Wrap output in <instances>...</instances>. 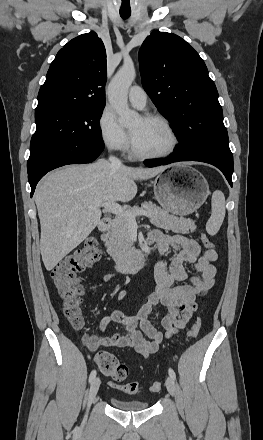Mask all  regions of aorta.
Here are the masks:
<instances>
[{
	"label": "aorta",
	"instance_id": "762f6f07",
	"mask_svg": "<svg viewBox=\"0 0 263 440\" xmlns=\"http://www.w3.org/2000/svg\"><path fill=\"white\" fill-rule=\"evenodd\" d=\"M136 77L132 63H125L108 87V99L119 116L122 125H128L138 119L139 115L128 107V90Z\"/></svg>",
	"mask_w": 263,
	"mask_h": 440
}]
</instances>
